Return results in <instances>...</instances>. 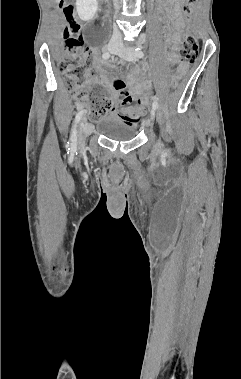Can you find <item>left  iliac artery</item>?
Masks as SVG:
<instances>
[{
	"instance_id": "left-iliac-artery-1",
	"label": "left iliac artery",
	"mask_w": 241,
	"mask_h": 379,
	"mask_svg": "<svg viewBox=\"0 0 241 379\" xmlns=\"http://www.w3.org/2000/svg\"><path fill=\"white\" fill-rule=\"evenodd\" d=\"M135 55L138 57V58H142L144 56V53L141 49V45L138 44V46L136 47L135 49ZM152 107L156 110L158 108V102H157V98L154 97V102L152 104Z\"/></svg>"
}]
</instances>
